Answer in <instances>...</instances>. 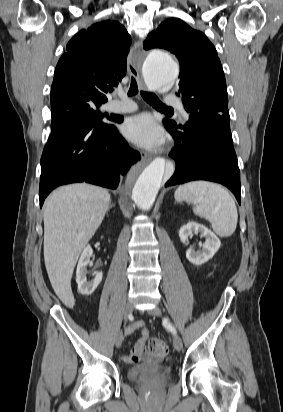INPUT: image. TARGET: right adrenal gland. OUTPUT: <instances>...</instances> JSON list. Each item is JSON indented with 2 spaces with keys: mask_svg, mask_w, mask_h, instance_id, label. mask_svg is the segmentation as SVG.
I'll list each match as a JSON object with an SVG mask.
<instances>
[{
  "mask_svg": "<svg viewBox=\"0 0 283 412\" xmlns=\"http://www.w3.org/2000/svg\"><path fill=\"white\" fill-rule=\"evenodd\" d=\"M112 207H115V205L112 204L111 201H110V204H109V207H108V211H109Z\"/></svg>",
  "mask_w": 283,
  "mask_h": 412,
  "instance_id": "1",
  "label": "right adrenal gland"
}]
</instances>
